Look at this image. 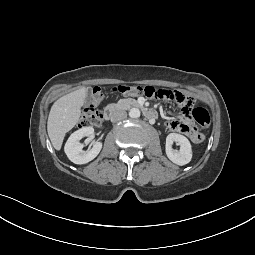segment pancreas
Returning a JSON list of instances; mask_svg holds the SVG:
<instances>
[{
	"label": "pancreas",
	"instance_id": "cf45deb5",
	"mask_svg": "<svg viewBox=\"0 0 255 255\" xmlns=\"http://www.w3.org/2000/svg\"><path fill=\"white\" fill-rule=\"evenodd\" d=\"M118 107L127 108L130 105H137V101L135 99L127 98V99H120L117 104Z\"/></svg>",
	"mask_w": 255,
	"mask_h": 255
}]
</instances>
